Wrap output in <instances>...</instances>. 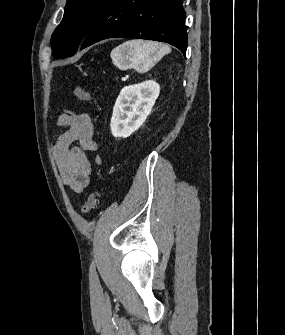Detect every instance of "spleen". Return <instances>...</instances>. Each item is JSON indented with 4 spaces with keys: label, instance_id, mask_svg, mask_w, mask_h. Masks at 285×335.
I'll return each mask as SVG.
<instances>
[{
    "label": "spleen",
    "instance_id": "obj_1",
    "mask_svg": "<svg viewBox=\"0 0 285 335\" xmlns=\"http://www.w3.org/2000/svg\"><path fill=\"white\" fill-rule=\"evenodd\" d=\"M171 48L158 42L146 40H129L111 52V58L118 68L128 70L135 68L137 72L150 70L165 54H170Z\"/></svg>",
    "mask_w": 285,
    "mask_h": 335
}]
</instances>
